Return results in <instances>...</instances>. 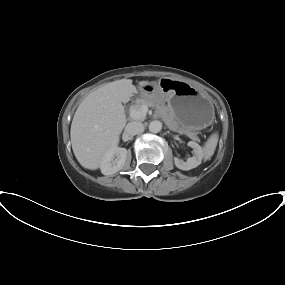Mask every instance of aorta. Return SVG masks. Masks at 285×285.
<instances>
[{"label":"aorta","mask_w":285,"mask_h":285,"mask_svg":"<svg viewBox=\"0 0 285 285\" xmlns=\"http://www.w3.org/2000/svg\"><path fill=\"white\" fill-rule=\"evenodd\" d=\"M162 129V123L158 120H154L149 124V131L152 133H158Z\"/></svg>","instance_id":"aorta-1"}]
</instances>
